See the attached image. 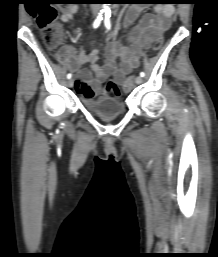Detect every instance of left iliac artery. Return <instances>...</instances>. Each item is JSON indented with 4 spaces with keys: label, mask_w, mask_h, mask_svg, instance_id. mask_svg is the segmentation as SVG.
I'll list each match as a JSON object with an SVG mask.
<instances>
[{
    "label": "left iliac artery",
    "mask_w": 218,
    "mask_h": 257,
    "mask_svg": "<svg viewBox=\"0 0 218 257\" xmlns=\"http://www.w3.org/2000/svg\"><path fill=\"white\" fill-rule=\"evenodd\" d=\"M110 17H111V15H110L109 12L105 14V21H104V23H105V27H106L108 30L111 29ZM140 76H141V77H144V76H145V73H144V72H141V73H140Z\"/></svg>",
    "instance_id": "left-iliac-artery-1"
}]
</instances>
